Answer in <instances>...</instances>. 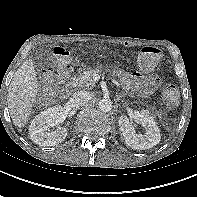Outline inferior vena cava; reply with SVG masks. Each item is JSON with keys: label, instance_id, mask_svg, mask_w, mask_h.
I'll use <instances>...</instances> for the list:
<instances>
[{"label": "inferior vena cava", "instance_id": "602c4592", "mask_svg": "<svg viewBox=\"0 0 197 197\" xmlns=\"http://www.w3.org/2000/svg\"><path fill=\"white\" fill-rule=\"evenodd\" d=\"M90 100V94L87 91H77L70 98V103L74 107L85 105Z\"/></svg>", "mask_w": 197, "mask_h": 197}]
</instances>
